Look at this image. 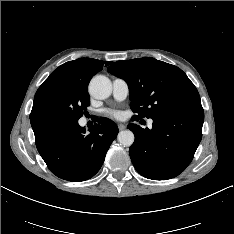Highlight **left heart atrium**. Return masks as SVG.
<instances>
[{"mask_svg": "<svg viewBox=\"0 0 234 234\" xmlns=\"http://www.w3.org/2000/svg\"><path fill=\"white\" fill-rule=\"evenodd\" d=\"M107 115L111 118L121 119L123 117V113L119 110H108Z\"/></svg>", "mask_w": 234, "mask_h": 234, "instance_id": "39dd6f15", "label": "left heart atrium"}]
</instances>
